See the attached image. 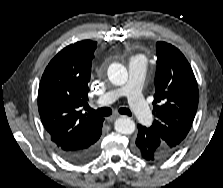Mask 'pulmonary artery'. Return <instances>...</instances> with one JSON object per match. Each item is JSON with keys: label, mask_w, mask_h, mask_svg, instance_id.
I'll use <instances>...</instances> for the list:
<instances>
[{"label": "pulmonary artery", "mask_w": 223, "mask_h": 188, "mask_svg": "<svg viewBox=\"0 0 223 188\" xmlns=\"http://www.w3.org/2000/svg\"><path fill=\"white\" fill-rule=\"evenodd\" d=\"M146 65L147 62L143 56L137 55L132 57L129 62V80L127 84L100 95L96 100L97 104L107 106L115 102L118 98L126 96L136 118L142 124H150L153 118L152 112L142 94Z\"/></svg>", "instance_id": "pulmonary-artery-1"}]
</instances>
